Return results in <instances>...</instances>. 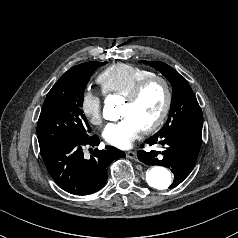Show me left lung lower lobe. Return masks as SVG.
Listing matches in <instances>:
<instances>
[{"instance_id":"obj_1","label":"left lung lower lobe","mask_w":238,"mask_h":238,"mask_svg":"<svg viewBox=\"0 0 238 238\" xmlns=\"http://www.w3.org/2000/svg\"><path fill=\"white\" fill-rule=\"evenodd\" d=\"M152 146L157 145L161 151L138 152V158L147 165H163L172 170L174 180L169 188L183 182L193 170L202 144V127L174 129L162 134H155L145 140Z\"/></svg>"}]
</instances>
